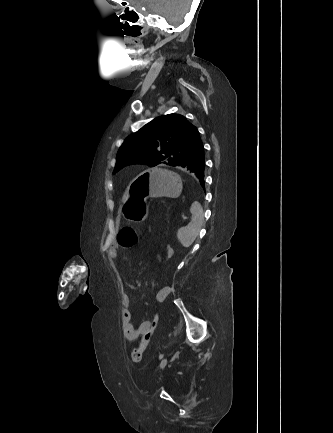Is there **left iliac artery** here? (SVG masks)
I'll return each mask as SVG.
<instances>
[{
  "label": "left iliac artery",
  "mask_w": 333,
  "mask_h": 433,
  "mask_svg": "<svg viewBox=\"0 0 333 433\" xmlns=\"http://www.w3.org/2000/svg\"><path fill=\"white\" fill-rule=\"evenodd\" d=\"M162 357H163V355H160V356H159V359H161Z\"/></svg>",
  "instance_id": "1"
}]
</instances>
